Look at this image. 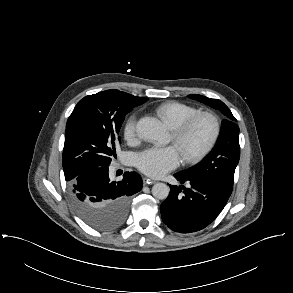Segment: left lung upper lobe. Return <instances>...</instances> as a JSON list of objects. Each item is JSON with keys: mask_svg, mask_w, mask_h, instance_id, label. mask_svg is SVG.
Listing matches in <instances>:
<instances>
[{"mask_svg": "<svg viewBox=\"0 0 293 293\" xmlns=\"http://www.w3.org/2000/svg\"><path fill=\"white\" fill-rule=\"evenodd\" d=\"M189 98L220 110L225 115L221 132L212 152L198 165L181 173L214 180L233 188L234 172L239 162V127L230 109L220 100L202 95H188Z\"/></svg>", "mask_w": 293, "mask_h": 293, "instance_id": "5c2ea615", "label": "left lung upper lobe"}]
</instances>
